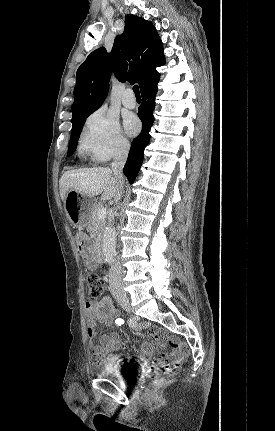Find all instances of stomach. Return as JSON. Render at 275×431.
<instances>
[{
  "label": "stomach",
  "mask_w": 275,
  "mask_h": 431,
  "mask_svg": "<svg viewBox=\"0 0 275 431\" xmlns=\"http://www.w3.org/2000/svg\"><path fill=\"white\" fill-rule=\"evenodd\" d=\"M94 205V199L74 190L67 192L64 201V208L68 220L73 226L79 228L87 225L90 211Z\"/></svg>",
  "instance_id": "obj_1"
}]
</instances>
